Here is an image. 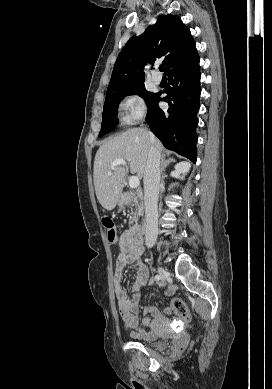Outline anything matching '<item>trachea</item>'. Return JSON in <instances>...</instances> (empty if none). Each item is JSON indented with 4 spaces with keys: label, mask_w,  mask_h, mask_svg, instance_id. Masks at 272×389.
Listing matches in <instances>:
<instances>
[{
    "label": "trachea",
    "mask_w": 272,
    "mask_h": 389,
    "mask_svg": "<svg viewBox=\"0 0 272 389\" xmlns=\"http://www.w3.org/2000/svg\"><path fill=\"white\" fill-rule=\"evenodd\" d=\"M164 69H165L164 65H161V66L159 67V70H160L161 72H163Z\"/></svg>",
    "instance_id": "1"
}]
</instances>
